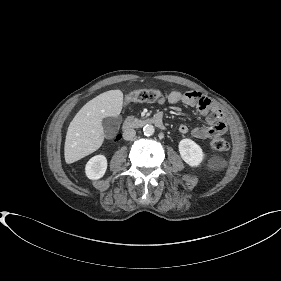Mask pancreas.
<instances>
[{
  "mask_svg": "<svg viewBox=\"0 0 281 281\" xmlns=\"http://www.w3.org/2000/svg\"><path fill=\"white\" fill-rule=\"evenodd\" d=\"M133 121H136V118H134V117H128V118L125 120V124H129V123H131V122H133Z\"/></svg>",
  "mask_w": 281,
  "mask_h": 281,
  "instance_id": "cf45deb5",
  "label": "pancreas"
}]
</instances>
